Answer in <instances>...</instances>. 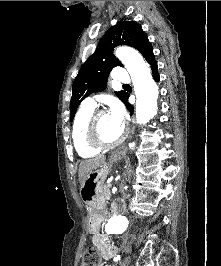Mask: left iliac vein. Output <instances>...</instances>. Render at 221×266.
<instances>
[{
    "instance_id": "left-iliac-vein-1",
    "label": "left iliac vein",
    "mask_w": 221,
    "mask_h": 266,
    "mask_svg": "<svg viewBox=\"0 0 221 266\" xmlns=\"http://www.w3.org/2000/svg\"><path fill=\"white\" fill-rule=\"evenodd\" d=\"M131 263V257L127 256L123 259V261L120 263V266H129Z\"/></svg>"
}]
</instances>
